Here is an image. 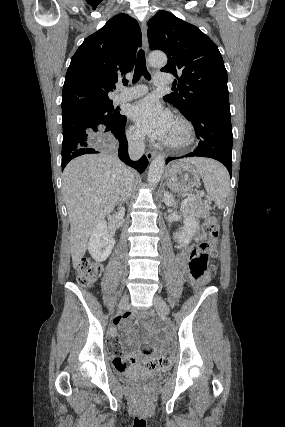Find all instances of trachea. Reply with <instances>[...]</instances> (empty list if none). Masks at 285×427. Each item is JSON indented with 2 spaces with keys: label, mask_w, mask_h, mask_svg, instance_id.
<instances>
[{
  "label": "trachea",
  "mask_w": 285,
  "mask_h": 427,
  "mask_svg": "<svg viewBox=\"0 0 285 427\" xmlns=\"http://www.w3.org/2000/svg\"><path fill=\"white\" fill-rule=\"evenodd\" d=\"M141 75H143L147 80L151 79V76L146 68V60H145V54L143 50H140L138 52V56L135 64L133 82H137L140 79Z\"/></svg>",
  "instance_id": "3493384b"
}]
</instances>
